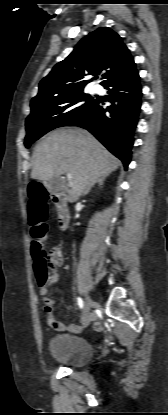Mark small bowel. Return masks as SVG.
Returning a JSON list of instances; mask_svg holds the SVG:
<instances>
[{"instance_id": "small-bowel-1", "label": "small bowel", "mask_w": 168, "mask_h": 415, "mask_svg": "<svg viewBox=\"0 0 168 415\" xmlns=\"http://www.w3.org/2000/svg\"><path fill=\"white\" fill-rule=\"evenodd\" d=\"M50 255L52 260L57 264V265H62L63 264V252H62V247L60 245H55L54 247H52V249L50 250ZM50 279L51 281L55 282L58 280V274L53 272L50 275ZM39 293L43 298L44 301V306H43V310L47 316V324L55 329H59V330H66V329H70V330H74V329H78L79 326L78 325H73V324H64L60 321H58L54 314H53V305H54V301L52 299H50L49 297H47L48 294V289L46 286H40L39 289Z\"/></svg>"}]
</instances>
